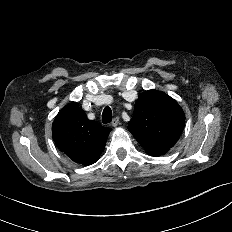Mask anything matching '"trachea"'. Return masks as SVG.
<instances>
[{"label": "trachea", "mask_w": 232, "mask_h": 232, "mask_svg": "<svg viewBox=\"0 0 232 232\" xmlns=\"http://www.w3.org/2000/svg\"><path fill=\"white\" fill-rule=\"evenodd\" d=\"M112 121V111L110 107H105L102 113V122L104 124L110 123Z\"/></svg>", "instance_id": "3493384b"}]
</instances>
